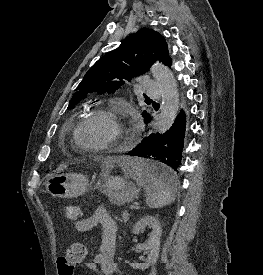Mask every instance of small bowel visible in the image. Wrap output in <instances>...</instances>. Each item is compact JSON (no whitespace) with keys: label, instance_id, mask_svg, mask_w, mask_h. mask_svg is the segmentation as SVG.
<instances>
[{"label":"small bowel","instance_id":"1","mask_svg":"<svg viewBox=\"0 0 263 275\" xmlns=\"http://www.w3.org/2000/svg\"><path fill=\"white\" fill-rule=\"evenodd\" d=\"M96 227H100L102 232L100 250L92 261L86 263V266L92 273L96 272L99 267L104 275H113L116 271L115 248L117 225L103 207L95 209L90 216L76 223V229L79 232H87Z\"/></svg>","mask_w":263,"mask_h":275}]
</instances>
